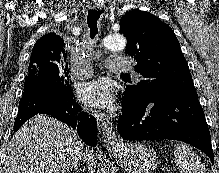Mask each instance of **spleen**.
Instances as JSON below:
<instances>
[{"instance_id":"spleen-1","label":"spleen","mask_w":219,"mask_h":173,"mask_svg":"<svg viewBox=\"0 0 219 173\" xmlns=\"http://www.w3.org/2000/svg\"><path fill=\"white\" fill-rule=\"evenodd\" d=\"M174 160L181 173H206L201 159L183 143L175 145Z\"/></svg>"}]
</instances>
